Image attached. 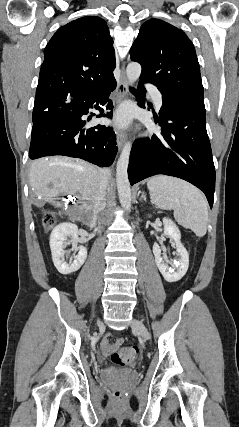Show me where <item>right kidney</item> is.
Wrapping results in <instances>:
<instances>
[{
	"instance_id": "right-kidney-1",
	"label": "right kidney",
	"mask_w": 239,
	"mask_h": 427,
	"mask_svg": "<svg viewBox=\"0 0 239 427\" xmlns=\"http://www.w3.org/2000/svg\"><path fill=\"white\" fill-rule=\"evenodd\" d=\"M68 238L71 239L67 242ZM78 227L76 224L65 222L56 226L50 235V248L52 260L56 269L63 275L71 274L80 269L87 258V249L78 245ZM72 243L78 254L74 255L69 262L65 260L67 244Z\"/></svg>"
}]
</instances>
